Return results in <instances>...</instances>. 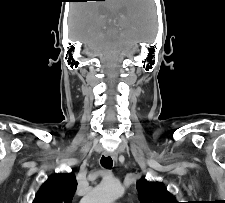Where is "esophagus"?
Listing matches in <instances>:
<instances>
[{
	"label": "esophagus",
	"instance_id": "1",
	"mask_svg": "<svg viewBox=\"0 0 225 203\" xmlns=\"http://www.w3.org/2000/svg\"><path fill=\"white\" fill-rule=\"evenodd\" d=\"M103 155L105 156V157H108V156H110L113 160H117V158H118V155H117V153H115V152H108V151H104L103 152Z\"/></svg>",
	"mask_w": 225,
	"mask_h": 203
}]
</instances>
